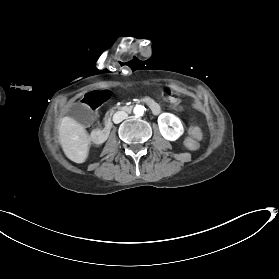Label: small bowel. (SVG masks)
Segmentation results:
<instances>
[{
	"label": "small bowel",
	"mask_w": 279,
	"mask_h": 279,
	"mask_svg": "<svg viewBox=\"0 0 279 279\" xmlns=\"http://www.w3.org/2000/svg\"><path fill=\"white\" fill-rule=\"evenodd\" d=\"M165 99L172 105H176L179 102V94L175 91H168L164 94Z\"/></svg>",
	"instance_id": "c3829d8e"
}]
</instances>
